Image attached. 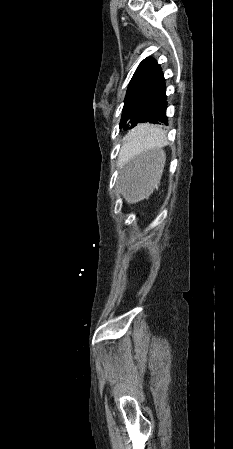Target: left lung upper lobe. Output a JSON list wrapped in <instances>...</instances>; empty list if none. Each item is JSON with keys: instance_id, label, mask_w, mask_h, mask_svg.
<instances>
[{"instance_id": "5c2ea615", "label": "left lung upper lobe", "mask_w": 233, "mask_h": 449, "mask_svg": "<svg viewBox=\"0 0 233 449\" xmlns=\"http://www.w3.org/2000/svg\"><path fill=\"white\" fill-rule=\"evenodd\" d=\"M165 90L160 65L153 58L144 59L137 67L126 92L120 128L129 129L143 121L148 109Z\"/></svg>"}]
</instances>
